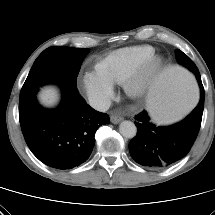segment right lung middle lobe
Instances as JSON below:
<instances>
[{
    "mask_svg": "<svg viewBox=\"0 0 215 215\" xmlns=\"http://www.w3.org/2000/svg\"><path fill=\"white\" fill-rule=\"evenodd\" d=\"M88 52L86 48L54 46L39 55L20 92V122L32 115L37 106L39 87L47 83H56L61 88L76 84L81 63Z\"/></svg>",
    "mask_w": 215,
    "mask_h": 215,
    "instance_id": "right-lung-middle-lobe-1",
    "label": "right lung middle lobe"
}]
</instances>
